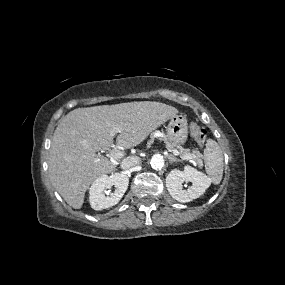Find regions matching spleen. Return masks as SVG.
Listing matches in <instances>:
<instances>
[{
  "instance_id": "obj_1",
  "label": "spleen",
  "mask_w": 285,
  "mask_h": 285,
  "mask_svg": "<svg viewBox=\"0 0 285 285\" xmlns=\"http://www.w3.org/2000/svg\"><path fill=\"white\" fill-rule=\"evenodd\" d=\"M205 171L210 182L219 184L223 175V154L218 143L209 139L204 149Z\"/></svg>"
}]
</instances>
